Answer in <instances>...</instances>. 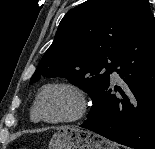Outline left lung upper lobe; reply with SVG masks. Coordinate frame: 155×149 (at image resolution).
<instances>
[{"label":"left lung upper lobe","instance_id":"left-lung-upper-lobe-1","mask_svg":"<svg viewBox=\"0 0 155 149\" xmlns=\"http://www.w3.org/2000/svg\"><path fill=\"white\" fill-rule=\"evenodd\" d=\"M149 14L148 0H88L73 8L30 84L41 76L66 77L94 98L110 82L116 56Z\"/></svg>","mask_w":155,"mask_h":149}]
</instances>
